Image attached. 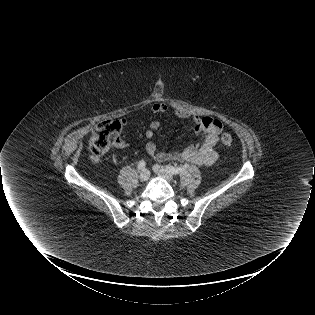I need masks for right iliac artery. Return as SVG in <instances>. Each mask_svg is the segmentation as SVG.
Here are the masks:
<instances>
[{
    "mask_svg": "<svg viewBox=\"0 0 315 315\" xmlns=\"http://www.w3.org/2000/svg\"><path fill=\"white\" fill-rule=\"evenodd\" d=\"M146 166V163L144 160H141L139 163H138V169H143L145 168Z\"/></svg>",
    "mask_w": 315,
    "mask_h": 315,
    "instance_id": "right-iliac-artery-1",
    "label": "right iliac artery"
}]
</instances>
